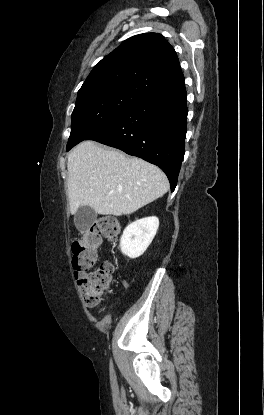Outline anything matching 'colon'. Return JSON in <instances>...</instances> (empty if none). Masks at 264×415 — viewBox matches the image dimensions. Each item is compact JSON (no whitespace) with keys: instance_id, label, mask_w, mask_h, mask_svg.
Returning <instances> with one entry per match:
<instances>
[{"instance_id":"obj_1","label":"colon","mask_w":264,"mask_h":415,"mask_svg":"<svg viewBox=\"0 0 264 415\" xmlns=\"http://www.w3.org/2000/svg\"><path fill=\"white\" fill-rule=\"evenodd\" d=\"M120 229L116 217H102L72 245V268L78 276V286L87 308H99L109 292L114 265L96 263L104 240H116Z\"/></svg>"}]
</instances>
